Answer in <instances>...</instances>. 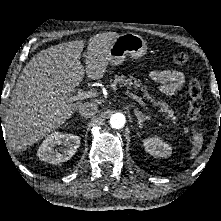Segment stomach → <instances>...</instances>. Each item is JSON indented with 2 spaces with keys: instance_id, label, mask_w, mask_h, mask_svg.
Returning <instances> with one entry per match:
<instances>
[{
  "instance_id": "0dacf381",
  "label": "stomach",
  "mask_w": 221,
  "mask_h": 221,
  "mask_svg": "<svg viewBox=\"0 0 221 221\" xmlns=\"http://www.w3.org/2000/svg\"><path fill=\"white\" fill-rule=\"evenodd\" d=\"M146 41L137 34L124 33L116 37L109 49V63L113 66L122 64L126 56L140 58L146 54Z\"/></svg>"
}]
</instances>
